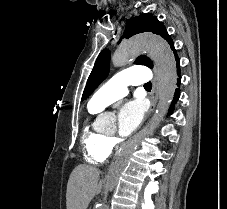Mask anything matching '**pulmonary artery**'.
<instances>
[{
  "instance_id": "pulmonary-artery-1",
  "label": "pulmonary artery",
  "mask_w": 227,
  "mask_h": 209,
  "mask_svg": "<svg viewBox=\"0 0 227 209\" xmlns=\"http://www.w3.org/2000/svg\"><path fill=\"white\" fill-rule=\"evenodd\" d=\"M153 73H150L148 66H130L129 70H123V73H116L105 84L104 88H99L90 95L89 105L99 109L114 99L123 97L128 92V85H139L141 83H150Z\"/></svg>"
}]
</instances>
